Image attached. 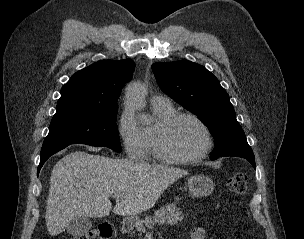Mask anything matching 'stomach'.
I'll return each mask as SVG.
<instances>
[{"instance_id": "obj_1", "label": "stomach", "mask_w": 304, "mask_h": 239, "mask_svg": "<svg viewBox=\"0 0 304 239\" xmlns=\"http://www.w3.org/2000/svg\"><path fill=\"white\" fill-rule=\"evenodd\" d=\"M189 192L195 197H205L214 190L213 181L204 175L191 176L187 181Z\"/></svg>"}]
</instances>
